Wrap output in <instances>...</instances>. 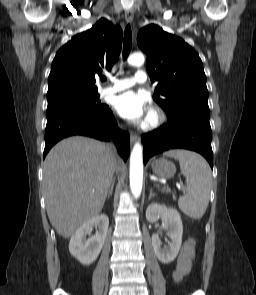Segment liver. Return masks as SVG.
Here are the masks:
<instances>
[{
  "instance_id": "liver-1",
  "label": "liver",
  "mask_w": 256,
  "mask_h": 295,
  "mask_svg": "<svg viewBox=\"0 0 256 295\" xmlns=\"http://www.w3.org/2000/svg\"><path fill=\"white\" fill-rule=\"evenodd\" d=\"M120 168L103 142L73 136L47 154L43 187L50 223L64 238L102 211L115 170Z\"/></svg>"
}]
</instances>
